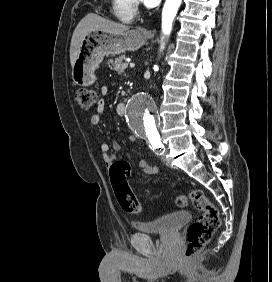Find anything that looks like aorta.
<instances>
[{"label": "aorta", "mask_w": 272, "mask_h": 282, "mask_svg": "<svg viewBox=\"0 0 272 282\" xmlns=\"http://www.w3.org/2000/svg\"><path fill=\"white\" fill-rule=\"evenodd\" d=\"M182 0H166L162 11V33L164 37L170 35L172 23ZM164 43L161 44V49ZM128 126L138 135L147 139H159L158 113L156 105L150 95L142 90L129 99L126 110Z\"/></svg>", "instance_id": "obj_1"}]
</instances>
